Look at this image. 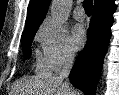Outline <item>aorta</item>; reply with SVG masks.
Listing matches in <instances>:
<instances>
[{"instance_id": "obj_1", "label": "aorta", "mask_w": 119, "mask_h": 95, "mask_svg": "<svg viewBox=\"0 0 119 95\" xmlns=\"http://www.w3.org/2000/svg\"><path fill=\"white\" fill-rule=\"evenodd\" d=\"M72 6V0H53L51 4L52 19L62 24L67 21Z\"/></svg>"}]
</instances>
